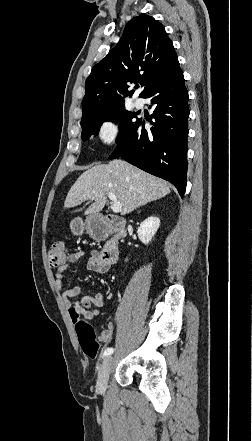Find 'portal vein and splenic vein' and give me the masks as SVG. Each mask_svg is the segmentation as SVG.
Instances as JSON below:
<instances>
[{
  "label": "portal vein and splenic vein",
  "mask_w": 252,
  "mask_h": 441,
  "mask_svg": "<svg viewBox=\"0 0 252 441\" xmlns=\"http://www.w3.org/2000/svg\"><path fill=\"white\" fill-rule=\"evenodd\" d=\"M108 197L112 201V206H111L112 211L114 213L120 212L122 210V205L117 200L115 194L114 193H108Z\"/></svg>",
  "instance_id": "1"
}]
</instances>
